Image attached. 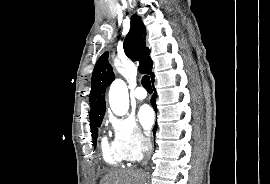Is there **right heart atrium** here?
I'll use <instances>...</instances> for the list:
<instances>
[{"label": "right heart atrium", "mask_w": 270, "mask_h": 184, "mask_svg": "<svg viewBox=\"0 0 270 184\" xmlns=\"http://www.w3.org/2000/svg\"><path fill=\"white\" fill-rule=\"evenodd\" d=\"M113 132V143L125 161L134 162L142 158L150 146L149 138L131 117L109 116Z\"/></svg>", "instance_id": "right-heart-atrium-1"}]
</instances>
